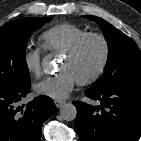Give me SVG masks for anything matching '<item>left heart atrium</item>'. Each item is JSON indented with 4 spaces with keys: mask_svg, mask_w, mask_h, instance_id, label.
I'll return each instance as SVG.
<instances>
[{
    "mask_svg": "<svg viewBox=\"0 0 141 141\" xmlns=\"http://www.w3.org/2000/svg\"><path fill=\"white\" fill-rule=\"evenodd\" d=\"M76 78L68 71L55 76H47L35 83L34 90L37 94L55 100L66 98L74 89Z\"/></svg>",
    "mask_w": 141,
    "mask_h": 141,
    "instance_id": "39dd6f15",
    "label": "left heart atrium"
}]
</instances>
